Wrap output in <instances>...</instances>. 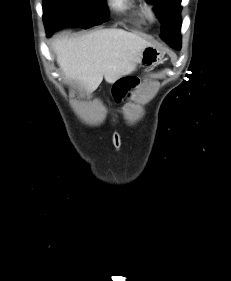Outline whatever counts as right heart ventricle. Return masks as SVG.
Returning <instances> with one entry per match:
<instances>
[{"mask_svg": "<svg viewBox=\"0 0 231 281\" xmlns=\"http://www.w3.org/2000/svg\"><path fill=\"white\" fill-rule=\"evenodd\" d=\"M109 2L116 11L139 16L145 15L144 6L136 0H109Z\"/></svg>", "mask_w": 231, "mask_h": 281, "instance_id": "1", "label": "right heart ventricle"}]
</instances>
